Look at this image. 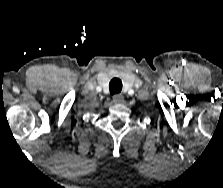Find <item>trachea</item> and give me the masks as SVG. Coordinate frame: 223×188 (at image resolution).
Returning <instances> with one entry per match:
<instances>
[{
	"label": "trachea",
	"instance_id": "obj_1",
	"mask_svg": "<svg viewBox=\"0 0 223 188\" xmlns=\"http://www.w3.org/2000/svg\"><path fill=\"white\" fill-rule=\"evenodd\" d=\"M109 88L112 95L120 93L122 90V81L118 78H113L109 83Z\"/></svg>",
	"mask_w": 223,
	"mask_h": 188
}]
</instances>
